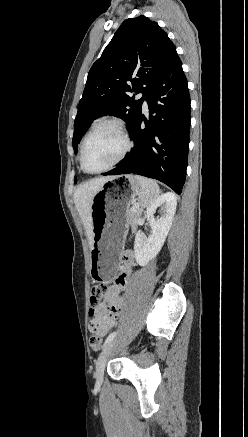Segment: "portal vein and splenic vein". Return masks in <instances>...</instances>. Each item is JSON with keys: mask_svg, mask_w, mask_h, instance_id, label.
<instances>
[{"mask_svg": "<svg viewBox=\"0 0 248 437\" xmlns=\"http://www.w3.org/2000/svg\"><path fill=\"white\" fill-rule=\"evenodd\" d=\"M134 207L138 208V207H139V205H138V204H134Z\"/></svg>", "mask_w": 248, "mask_h": 437, "instance_id": "1", "label": "portal vein and splenic vein"}]
</instances>
